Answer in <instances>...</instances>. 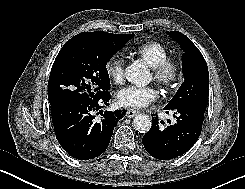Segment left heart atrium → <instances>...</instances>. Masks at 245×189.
Masks as SVG:
<instances>
[{
  "label": "left heart atrium",
  "instance_id": "left-heart-atrium-1",
  "mask_svg": "<svg viewBox=\"0 0 245 189\" xmlns=\"http://www.w3.org/2000/svg\"><path fill=\"white\" fill-rule=\"evenodd\" d=\"M158 97V91L153 86L138 87L134 85L121 89L117 98L121 105L132 108H141Z\"/></svg>",
  "mask_w": 245,
  "mask_h": 189
}]
</instances>
